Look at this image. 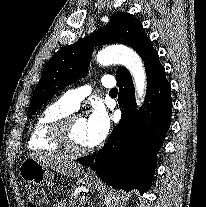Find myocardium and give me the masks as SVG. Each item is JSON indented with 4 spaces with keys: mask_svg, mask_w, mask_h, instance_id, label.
Returning <instances> with one entry per match:
<instances>
[{
    "mask_svg": "<svg viewBox=\"0 0 206 207\" xmlns=\"http://www.w3.org/2000/svg\"><path fill=\"white\" fill-rule=\"evenodd\" d=\"M83 118V116L75 113L68 114L53 123L50 129V136L54 144L58 146L60 151L73 156H81L91 151L90 147L77 148L70 138V129L75 120Z\"/></svg>",
    "mask_w": 206,
    "mask_h": 207,
    "instance_id": "obj_1",
    "label": "myocardium"
}]
</instances>
